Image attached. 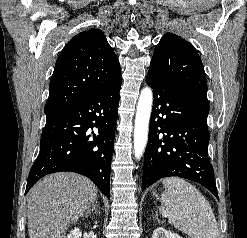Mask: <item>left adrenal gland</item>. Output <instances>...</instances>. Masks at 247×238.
Wrapping results in <instances>:
<instances>
[{"label":"left adrenal gland","mask_w":247,"mask_h":238,"mask_svg":"<svg viewBox=\"0 0 247 238\" xmlns=\"http://www.w3.org/2000/svg\"><path fill=\"white\" fill-rule=\"evenodd\" d=\"M155 220H157V221H159V219H158V216L156 215L155 217H153Z\"/></svg>","instance_id":"left-adrenal-gland-1"}]
</instances>
